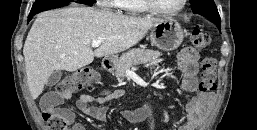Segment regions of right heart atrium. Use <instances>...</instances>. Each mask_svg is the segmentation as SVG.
I'll list each match as a JSON object with an SVG mask.
<instances>
[{
	"instance_id": "d8ad5b80",
	"label": "right heart atrium",
	"mask_w": 257,
	"mask_h": 130,
	"mask_svg": "<svg viewBox=\"0 0 257 130\" xmlns=\"http://www.w3.org/2000/svg\"><path fill=\"white\" fill-rule=\"evenodd\" d=\"M99 4L104 7H116V0H98Z\"/></svg>"
}]
</instances>
